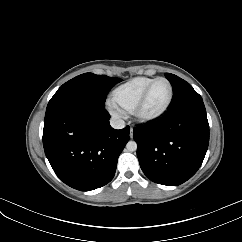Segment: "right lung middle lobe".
Instances as JSON below:
<instances>
[{
	"instance_id": "obj_1",
	"label": "right lung middle lobe",
	"mask_w": 242,
	"mask_h": 242,
	"mask_svg": "<svg viewBox=\"0 0 242 242\" xmlns=\"http://www.w3.org/2000/svg\"><path fill=\"white\" fill-rule=\"evenodd\" d=\"M121 81L120 78L105 75L81 74L69 80L57 90L49 101L46 111L65 103L79 101H88L105 106L107 93L116 83Z\"/></svg>"
}]
</instances>
